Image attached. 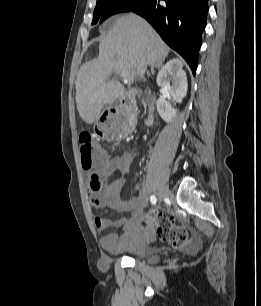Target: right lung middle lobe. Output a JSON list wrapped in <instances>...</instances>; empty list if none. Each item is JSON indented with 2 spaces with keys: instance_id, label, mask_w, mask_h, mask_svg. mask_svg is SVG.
Here are the masks:
<instances>
[{
  "instance_id": "dd1d6c3e",
  "label": "right lung middle lobe",
  "mask_w": 261,
  "mask_h": 306,
  "mask_svg": "<svg viewBox=\"0 0 261 306\" xmlns=\"http://www.w3.org/2000/svg\"><path fill=\"white\" fill-rule=\"evenodd\" d=\"M143 0H97L92 24L102 23L108 17L131 9Z\"/></svg>"
}]
</instances>
